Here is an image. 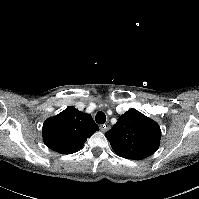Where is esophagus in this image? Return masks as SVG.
Instances as JSON below:
<instances>
[{
  "instance_id": "obj_1",
  "label": "esophagus",
  "mask_w": 199,
  "mask_h": 199,
  "mask_svg": "<svg viewBox=\"0 0 199 199\" xmlns=\"http://www.w3.org/2000/svg\"><path fill=\"white\" fill-rule=\"evenodd\" d=\"M110 129V126L108 125V124H102V125H100V130L102 131V132H106V131H108Z\"/></svg>"
}]
</instances>
